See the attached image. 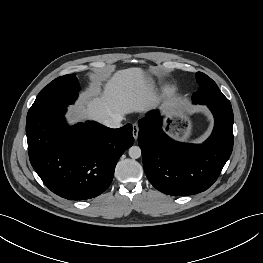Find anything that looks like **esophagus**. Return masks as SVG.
Wrapping results in <instances>:
<instances>
[{
  "label": "esophagus",
  "instance_id": "34e87169",
  "mask_svg": "<svg viewBox=\"0 0 263 263\" xmlns=\"http://www.w3.org/2000/svg\"><path fill=\"white\" fill-rule=\"evenodd\" d=\"M138 133H139V126L138 124L134 123L132 126V134L135 140L138 138Z\"/></svg>",
  "mask_w": 263,
  "mask_h": 263
}]
</instances>
